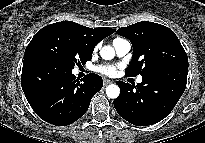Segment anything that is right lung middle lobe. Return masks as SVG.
<instances>
[{
	"mask_svg": "<svg viewBox=\"0 0 205 143\" xmlns=\"http://www.w3.org/2000/svg\"><path fill=\"white\" fill-rule=\"evenodd\" d=\"M94 47L74 27L57 22L39 30L28 44L24 56L34 54L50 58L73 69L91 60Z\"/></svg>",
	"mask_w": 205,
	"mask_h": 143,
	"instance_id": "right-lung-middle-lobe-1",
	"label": "right lung middle lobe"
}]
</instances>
